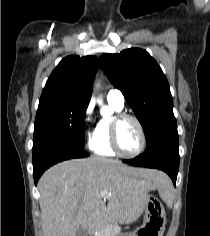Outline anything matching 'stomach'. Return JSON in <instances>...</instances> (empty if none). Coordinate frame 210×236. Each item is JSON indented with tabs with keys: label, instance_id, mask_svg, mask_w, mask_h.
Wrapping results in <instances>:
<instances>
[{
	"label": "stomach",
	"instance_id": "0dacf381",
	"mask_svg": "<svg viewBox=\"0 0 210 236\" xmlns=\"http://www.w3.org/2000/svg\"><path fill=\"white\" fill-rule=\"evenodd\" d=\"M144 222L128 236H163L166 225L165 210L160 201L148 194L144 205Z\"/></svg>",
	"mask_w": 210,
	"mask_h": 236
}]
</instances>
